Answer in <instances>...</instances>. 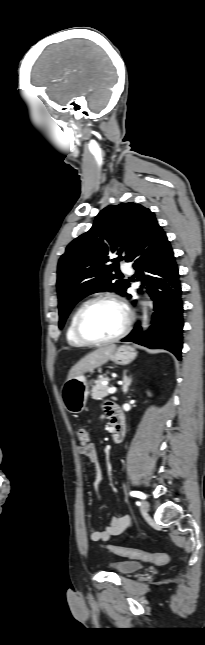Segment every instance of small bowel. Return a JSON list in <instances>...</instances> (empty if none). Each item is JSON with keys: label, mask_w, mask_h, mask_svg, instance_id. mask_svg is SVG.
Instances as JSON below:
<instances>
[{"label": "small bowel", "mask_w": 205, "mask_h": 645, "mask_svg": "<svg viewBox=\"0 0 205 645\" xmlns=\"http://www.w3.org/2000/svg\"><path fill=\"white\" fill-rule=\"evenodd\" d=\"M115 406L110 403L105 405L106 413L112 420V412ZM78 453L85 458H87L95 466V478H94V488L98 493V497H101V471L98 462V455L94 445H89L87 447H79ZM132 525V519L129 515H124L121 517H111L109 523L99 530H94L90 533L89 539L91 542H107L112 537L123 534L125 531L130 529Z\"/></svg>", "instance_id": "obj_1"}]
</instances>
